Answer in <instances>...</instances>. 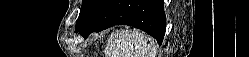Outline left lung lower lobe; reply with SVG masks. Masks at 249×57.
<instances>
[{
    "mask_svg": "<svg viewBox=\"0 0 249 57\" xmlns=\"http://www.w3.org/2000/svg\"><path fill=\"white\" fill-rule=\"evenodd\" d=\"M125 24L139 28L162 43L166 17L163 0H107L88 21L76 28L82 36Z\"/></svg>",
    "mask_w": 249,
    "mask_h": 57,
    "instance_id": "1",
    "label": "left lung lower lobe"
}]
</instances>
